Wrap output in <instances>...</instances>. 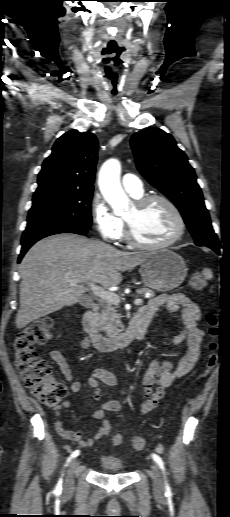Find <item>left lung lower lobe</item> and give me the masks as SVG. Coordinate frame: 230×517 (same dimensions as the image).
Instances as JSON below:
<instances>
[{
	"label": "left lung lower lobe",
	"instance_id": "1",
	"mask_svg": "<svg viewBox=\"0 0 230 517\" xmlns=\"http://www.w3.org/2000/svg\"><path fill=\"white\" fill-rule=\"evenodd\" d=\"M211 249H213L217 254H219V245L215 246V245H210V246H207Z\"/></svg>",
	"mask_w": 230,
	"mask_h": 517
}]
</instances>
